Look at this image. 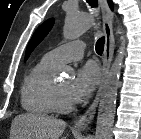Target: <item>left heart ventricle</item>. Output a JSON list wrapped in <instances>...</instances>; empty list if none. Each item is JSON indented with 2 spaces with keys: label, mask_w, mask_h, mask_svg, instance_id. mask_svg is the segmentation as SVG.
<instances>
[{
  "label": "left heart ventricle",
  "mask_w": 141,
  "mask_h": 139,
  "mask_svg": "<svg viewBox=\"0 0 141 139\" xmlns=\"http://www.w3.org/2000/svg\"><path fill=\"white\" fill-rule=\"evenodd\" d=\"M71 83H72L71 79H66L56 84L58 88L60 89L64 98L68 101H71L69 98V88H70Z\"/></svg>",
  "instance_id": "obj_1"
}]
</instances>
